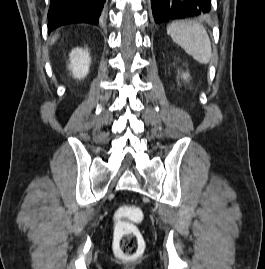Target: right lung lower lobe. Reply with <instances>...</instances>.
<instances>
[{"label": "right lung lower lobe", "instance_id": "98d812e1", "mask_svg": "<svg viewBox=\"0 0 265 269\" xmlns=\"http://www.w3.org/2000/svg\"><path fill=\"white\" fill-rule=\"evenodd\" d=\"M106 0H51L48 11L49 33L72 23L98 24Z\"/></svg>", "mask_w": 265, "mask_h": 269}]
</instances>
